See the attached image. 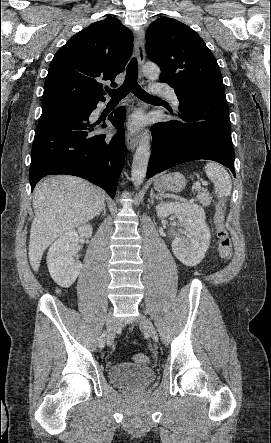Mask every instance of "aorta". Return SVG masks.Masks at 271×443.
Here are the masks:
<instances>
[{
    "label": "aorta",
    "instance_id": "1",
    "mask_svg": "<svg viewBox=\"0 0 271 443\" xmlns=\"http://www.w3.org/2000/svg\"><path fill=\"white\" fill-rule=\"evenodd\" d=\"M143 74L146 76V78H148V80H158L160 76V68H158L157 64H151V62H149V64H145ZM150 140L151 138L149 134L145 132L134 154L131 168V180L134 186H141L144 178H146L150 158Z\"/></svg>",
    "mask_w": 271,
    "mask_h": 443
}]
</instances>
